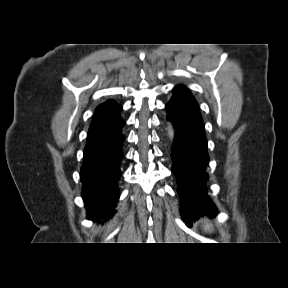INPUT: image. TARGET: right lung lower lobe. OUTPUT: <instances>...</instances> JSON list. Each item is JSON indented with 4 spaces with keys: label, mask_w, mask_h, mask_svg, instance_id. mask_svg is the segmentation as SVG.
I'll use <instances>...</instances> for the list:
<instances>
[{
    "label": "right lung lower lobe",
    "mask_w": 288,
    "mask_h": 288,
    "mask_svg": "<svg viewBox=\"0 0 288 288\" xmlns=\"http://www.w3.org/2000/svg\"><path fill=\"white\" fill-rule=\"evenodd\" d=\"M120 129L110 138L86 145L80 172L82 198L87 218L107 221L115 213L120 194L118 182L121 178V161L125 136Z\"/></svg>",
    "instance_id": "obj_1"
}]
</instances>
